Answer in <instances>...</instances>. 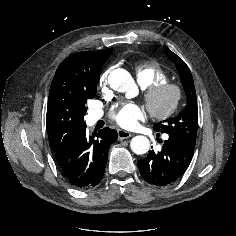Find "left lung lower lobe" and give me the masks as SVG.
I'll list each match as a JSON object with an SVG mask.
<instances>
[{"label":"left lung lower lobe","instance_id":"left-lung-lower-lobe-1","mask_svg":"<svg viewBox=\"0 0 236 236\" xmlns=\"http://www.w3.org/2000/svg\"><path fill=\"white\" fill-rule=\"evenodd\" d=\"M194 148L169 137L164 142L161 151L152 150L147 157L138 161L140 173L149 184L157 186L171 184L188 168Z\"/></svg>","mask_w":236,"mask_h":236}]
</instances>
